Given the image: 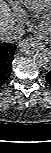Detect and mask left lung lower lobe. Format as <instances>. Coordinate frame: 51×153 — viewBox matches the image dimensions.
Segmentation results:
<instances>
[{
	"mask_svg": "<svg viewBox=\"0 0 51 153\" xmlns=\"http://www.w3.org/2000/svg\"><path fill=\"white\" fill-rule=\"evenodd\" d=\"M46 80L51 85V71L47 74Z\"/></svg>",
	"mask_w": 51,
	"mask_h": 153,
	"instance_id": "1",
	"label": "left lung lower lobe"
}]
</instances>
